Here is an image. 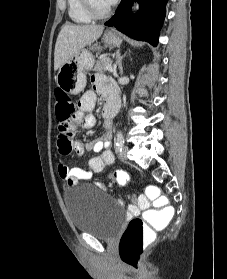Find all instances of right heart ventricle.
<instances>
[{"instance_id": "e07e8e85", "label": "right heart ventricle", "mask_w": 227, "mask_h": 279, "mask_svg": "<svg viewBox=\"0 0 227 279\" xmlns=\"http://www.w3.org/2000/svg\"><path fill=\"white\" fill-rule=\"evenodd\" d=\"M69 18L78 24H88L92 21L91 18L81 3V0H67Z\"/></svg>"}]
</instances>
